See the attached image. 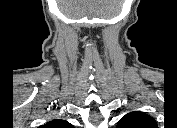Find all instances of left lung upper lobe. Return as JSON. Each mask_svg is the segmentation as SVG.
Listing matches in <instances>:
<instances>
[{
	"label": "left lung upper lobe",
	"mask_w": 177,
	"mask_h": 128,
	"mask_svg": "<svg viewBox=\"0 0 177 128\" xmlns=\"http://www.w3.org/2000/svg\"><path fill=\"white\" fill-rule=\"evenodd\" d=\"M155 120L143 112H130L118 122L117 128H156Z\"/></svg>",
	"instance_id": "1"
}]
</instances>
